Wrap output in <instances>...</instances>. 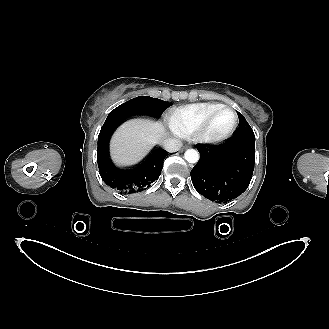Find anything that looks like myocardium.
I'll list each match as a JSON object with an SVG mask.
<instances>
[{"label": "myocardium", "instance_id": "obj_1", "mask_svg": "<svg viewBox=\"0 0 329 329\" xmlns=\"http://www.w3.org/2000/svg\"><path fill=\"white\" fill-rule=\"evenodd\" d=\"M223 110H231L233 112L234 123H233L231 129L227 133L220 135V136H212L208 132L209 127H210L212 121L214 120V118ZM238 123H239V116H238V112L236 111V109L231 106H228V105H223V106L217 108L216 110H214L213 112H211L207 116V118L194 131V137L197 141L202 142V143H208V144L218 143V142L224 141V140L228 139L230 136H232L237 129Z\"/></svg>", "mask_w": 329, "mask_h": 329}]
</instances>
